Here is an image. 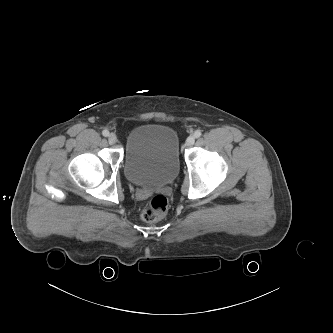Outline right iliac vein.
Here are the masks:
<instances>
[{"mask_svg": "<svg viewBox=\"0 0 333 333\" xmlns=\"http://www.w3.org/2000/svg\"><path fill=\"white\" fill-rule=\"evenodd\" d=\"M109 144H115L117 142V137L114 134H110L108 137Z\"/></svg>", "mask_w": 333, "mask_h": 333, "instance_id": "right-iliac-vein-1", "label": "right iliac vein"}]
</instances>
